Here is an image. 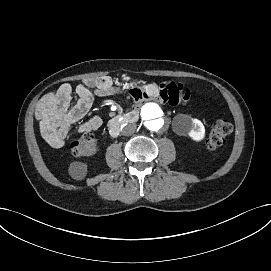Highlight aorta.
<instances>
[{
	"label": "aorta",
	"mask_w": 271,
	"mask_h": 271,
	"mask_svg": "<svg viewBox=\"0 0 271 271\" xmlns=\"http://www.w3.org/2000/svg\"><path fill=\"white\" fill-rule=\"evenodd\" d=\"M140 117L149 131L159 132L166 128L169 112L160 104L149 102L141 107Z\"/></svg>",
	"instance_id": "aorta-1"
}]
</instances>
